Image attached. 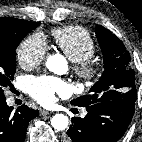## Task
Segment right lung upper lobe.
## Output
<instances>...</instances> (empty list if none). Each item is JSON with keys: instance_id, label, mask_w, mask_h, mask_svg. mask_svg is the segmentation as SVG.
Returning a JSON list of instances; mask_svg holds the SVG:
<instances>
[{"instance_id": "1", "label": "right lung upper lobe", "mask_w": 142, "mask_h": 142, "mask_svg": "<svg viewBox=\"0 0 142 142\" xmlns=\"http://www.w3.org/2000/svg\"><path fill=\"white\" fill-rule=\"evenodd\" d=\"M31 24H35V22H29V21H25L21 19H14V18H2L0 19V35L7 34L13 30H16Z\"/></svg>"}]
</instances>
